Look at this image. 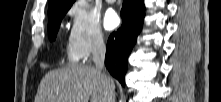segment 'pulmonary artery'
I'll list each match as a JSON object with an SVG mask.
<instances>
[{
  "label": "pulmonary artery",
  "mask_w": 221,
  "mask_h": 102,
  "mask_svg": "<svg viewBox=\"0 0 221 102\" xmlns=\"http://www.w3.org/2000/svg\"><path fill=\"white\" fill-rule=\"evenodd\" d=\"M116 0H106L108 3H114Z\"/></svg>",
  "instance_id": "1"
}]
</instances>
